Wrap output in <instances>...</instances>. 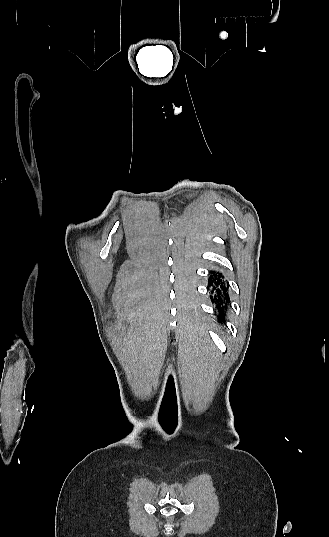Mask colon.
Listing matches in <instances>:
<instances>
[{"label":"colon","instance_id":"colon-1","mask_svg":"<svg viewBox=\"0 0 329 537\" xmlns=\"http://www.w3.org/2000/svg\"><path fill=\"white\" fill-rule=\"evenodd\" d=\"M173 516H176V513H173Z\"/></svg>","mask_w":329,"mask_h":537}]
</instances>
